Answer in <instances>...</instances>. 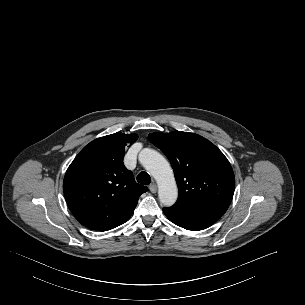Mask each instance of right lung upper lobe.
<instances>
[{
	"mask_svg": "<svg viewBox=\"0 0 305 305\" xmlns=\"http://www.w3.org/2000/svg\"><path fill=\"white\" fill-rule=\"evenodd\" d=\"M136 134L114 133L86 145L64 177L63 191L75 218L84 226L107 231L125 223L148 189L135 182L123 164L125 148Z\"/></svg>",
	"mask_w": 305,
	"mask_h": 305,
	"instance_id": "right-lung-upper-lobe-1",
	"label": "right lung upper lobe"
}]
</instances>
